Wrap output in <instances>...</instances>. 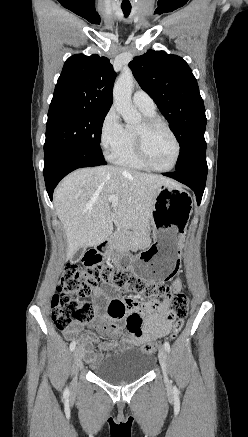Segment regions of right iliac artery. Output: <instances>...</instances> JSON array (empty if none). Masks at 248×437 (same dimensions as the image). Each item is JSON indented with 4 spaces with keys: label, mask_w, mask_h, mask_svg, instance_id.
<instances>
[{
    "label": "right iliac artery",
    "mask_w": 248,
    "mask_h": 437,
    "mask_svg": "<svg viewBox=\"0 0 248 437\" xmlns=\"http://www.w3.org/2000/svg\"><path fill=\"white\" fill-rule=\"evenodd\" d=\"M75 347H76V341H73V342L70 344V351H73V350L75 349ZM64 393H65V395H68V394H69V390L66 389Z\"/></svg>",
    "instance_id": "right-iliac-artery-1"
}]
</instances>
